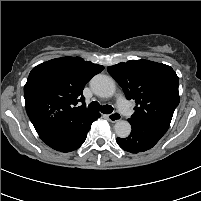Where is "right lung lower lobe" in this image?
Wrapping results in <instances>:
<instances>
[{
	"instance_id": "98d812e1",
	"label": "right lung lower lobe",
	"mask_w": 201,
	"mask_h": 201,
	"mask_svg": "<svg viewBox=\"0 0 201 201\" xmlns=\"http://www.w3.org/2000/svg\"><path fill=\"white\" fill-rule=\"evenodd\" d=\"M100 117L97 113L83 127L72 131L39 132V137L51 148L60 152H70L79 148L86 140L93 121Z\"/></svg>"
}]
</instances>
